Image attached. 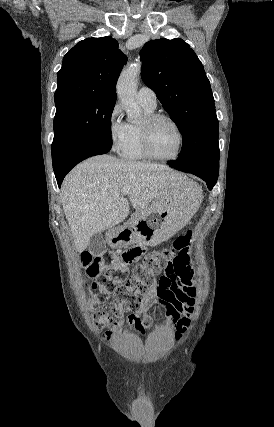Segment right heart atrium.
Here are the masks:
<instances>
[{"label": "right heart atrium", "instance_id": "obj_1", "mask_svg": "<svg viewBox=\"0 0 274 427\" xmlns=\"http://www.w3.org/2000/svg\"><path fill=\"white\" fill-rule=\"evenodd\" d=\"M106 130L111 149L113 151H120L127 139L128 124L122 120L118 105L112 107L108 113Z\"/></svg>", "mask_w": 274, "mask_h": 427}]
</instances>
